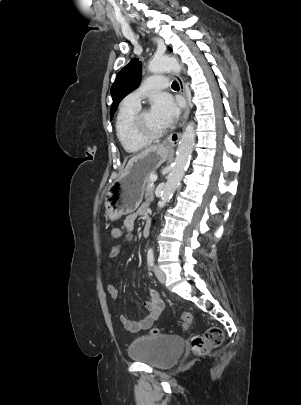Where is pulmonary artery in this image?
<instances>
[{"label": "pulmonary artery", "mask_w": 301, "mask_h": 405, "mask_svg": "<svg viewBox=\"0 0 301 405\" xmlns=\"http://www.w3.org/2000/svg\"><path fill=\"white\" fill-rule=\"evenodd\" d=\"M168 87V79L165 76H150L145 79L143 85L127 95L123 103L132 105V106H139L141 98L149 91L159 90Z\"/></svg>", "instance_id": "1"}]
</instances>
